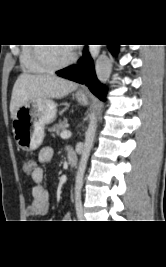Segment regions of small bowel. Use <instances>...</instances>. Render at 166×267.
<instances>
[{
	"label": "small bowel",
	"mask_w": 166,
	"mask_h": 267,
	"mask_svg": "<svg viewBox=\"0 0 166 267\" xmlns=\"http://www.w3.org/2000/svg\"><path fill=\"white\" fill-rule=\"evenodd\" d=\"M68 156H75L69 151ZM53 157V149L51 147H43L38 155V164H35L34 169L30 172L33 182L31 204L26 210L28 217L45 215L50 209V195L48 189L43 185L44 173L40 164L49 162ZM71 220L70 213H66L62 217V222Z\"/></svg>",
	"instance_id": "small-bowel-1"
}]
</instances>
